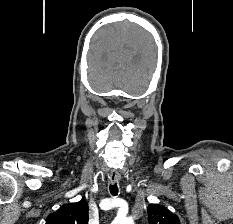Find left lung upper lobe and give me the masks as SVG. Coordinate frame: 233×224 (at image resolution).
Wrapping results in <instances>:
<instances>
[{"label":"left lung upper lobe","instance_id":"5c2ea615","mask_svg":"<svg viewBox=\"0 0 233 224\" xmlns=\"http://www.w3.org/2000/svg\"><path fill=\"white\" fill-rule=\"evenodd\" d=\"M148 217L150 224H180L177 215L158 204H150L148 206Z\"/></svg>","mask_w":233,"mask_h":224}]
</instances>
